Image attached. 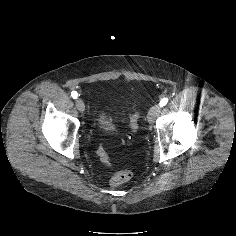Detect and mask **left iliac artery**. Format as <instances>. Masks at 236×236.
Here are the masks:
<instances>
[{"mask_svg":"<svg viewBox=\"0 0 236 236\" xmlns=\"http://www.w3.org/2000/svg\"><path fill=\"white\" fill-rule=\"evenodd\" d=\"M167 102H168V98H163L161 101H160V106L161 107H163V106H165L166 104H167Z\"/></svg>","mask_w":236,"mask_h":236,"instance_id":"obj_1","label":"left iliac artery"}]
</instances>
